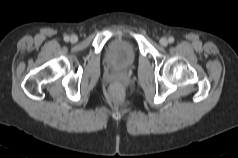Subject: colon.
Wrapping results in <instances>:
<instances>
[{"label":"colon","mask_w":238,"mask_h":158,"mask_svg":"<svg viewBox=\"0 0 238 158\" xmlns=\"http://www.w3.org/2000/svg\"><path fill=\"white\" fill-rule=\"evenodd\" d=\"M109 95L112 100L121 101L124 96V89L122 85L118 82L113 83L109 89Z\"/></svg>","instance_id":"colon-1"}]
</instances>
